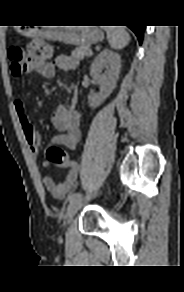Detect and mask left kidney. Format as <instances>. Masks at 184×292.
I'll list each match as a JSON object with an SVG mask.
<instances>
[{
  "instance_id": "left-kidney-1",
  "label": "left kidney",
  "mask_w": 184,
  "mask_h": 292,
  "mask_svg": "<svg viewBox=\"0 0 184 292\" xmlns=\"http://www.w3.org/2000/svg\"><path fill=\"white\" fill-rule=\"evenodd\" d=\"M106 69L104 73L102 70ZM121 69V57L108 49H104L93 61L90 67V75L95 79L100 92L88 97L89 106L96 108L112 93L119 78Z\"/></svg>"
}]
</instances>
